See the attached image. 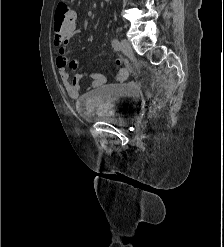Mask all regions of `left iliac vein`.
Returning a JSON list of instances; mask_svg holds the SVG:
<instances>
[{
    "label": "left iliac vein",
    "mask_w": 224,
    "mask_h": 247,
    "mask_svg": "<svg viewBox=\"0 0 224 247\" xmlns=\"http://www.w3.org/2000/svg\"><path fill=\"white\" fill-rule=\"evenodd\" d=\"M119 49L127 56L132 55V47L126 39H122L119 45Z\"/></svg>",
    "instance_id": "obj_1"
}]
</instances>
